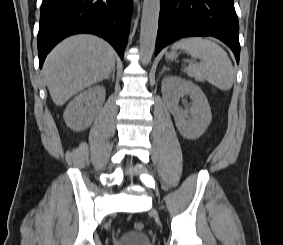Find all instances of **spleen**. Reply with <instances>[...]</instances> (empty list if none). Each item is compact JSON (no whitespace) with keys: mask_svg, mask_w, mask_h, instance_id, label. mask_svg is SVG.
Wrapping results in <instances>:
<instances>
[{"mask_svg":"<svg viewBox=\"0 0 283 245\" xmlns=\"http://www.w3.org/2000/svg\"><path fill=\"white\" fill-rule=\"evenodd\" d=\"M172 49H184L194 59L201 61L199 65L191 62L184 67L189 77L197 81H208L223 91L233 86L235 74L232 63L217 43L201 37H191L177 41Z\"/></svg>","mask_w":283,"mask_h":245,"instance_id":"3e777b00","label":"spleen"}]
</instances>
